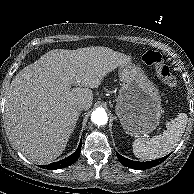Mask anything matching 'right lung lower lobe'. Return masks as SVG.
Returning a JSON list of instances; mask_svg holds the SVG:
<instances>
[{
	"instance_id": "right-lung-lower-lobe-1",
	"label": "right lung lower lobe",
	"mask_w": 194,
	"mask_h": 194,
	"mask_svg": "<svg viewBox=\"0 0 194 194\" xmlns=\"http://www.w3.org/2000/svg\"><path fill=\"white\" fill-rule=\"evenodd\" d=\"M81 146H82V141H80V144H79L77 150L72 155H70L67 158L60 160L58 162H54V163H51V164L45 165V166L43 165L41 167L49 169V170H55V169H61V168H65V167L70 166L71 164L76 162L77 159L79 158Z\"/></svg>"
}]
</instances>
